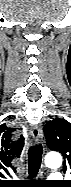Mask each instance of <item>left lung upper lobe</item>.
Here are the masks:
<instances>
[{
	"label": "left lung upper lobe",
	"mask_w": 71,
	"mask_h": 187,
	"mask_svg": "<svg viewBox=\"0 0 71 187\" xmlns=\"http://www.w3.org/2000/svg\"><path fill=\"white\" fill-rule=\"evenodd\" d=\"M47 145L64 157L63 171L71 169V123L65 119H53L44 126Z\"/></svg>",
	"instance_id": "obj_1"
}]
</instances>
